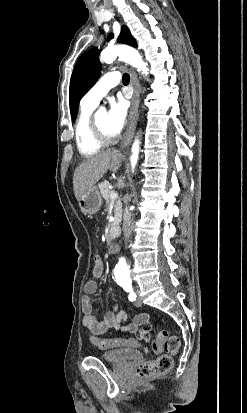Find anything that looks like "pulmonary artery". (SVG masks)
<instances>
[{"mask_svg": "<svg viewBox=\"0 0 247 413\" xmlns=\"http://www.w3.org/2000/svg\"><path fill=\"white\" fill-rule=\"evenodd\" d=\"M120 80L118 72H108L103 74L84 94L82 101L87 107H95L102 97Z\"/></svg>", "mask_w": 247, "mask_h": 413, "instance_id": "1", "label": "pulmonary artery"}]
</instances>
